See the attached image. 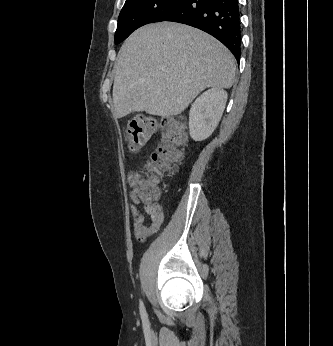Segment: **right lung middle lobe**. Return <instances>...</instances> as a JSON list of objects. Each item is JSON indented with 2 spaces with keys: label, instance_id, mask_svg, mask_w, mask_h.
<instances>
[{
  "label": "right lung middle lobe",
  "instance_id": "1",
  "mask_svg": "<svg viewBox=\"0 0 333 346\" xmlns=\"http://www.w3.org/2000/svg\"><path fill=\"white\" fill-rule=\"evenodd\" d=\"M184 0H126L115 32V44L125 40L137 28L164 21Z\"/></svg>",
  "mask_w": 333,
  "mask_h": 346
}]
</instances>
